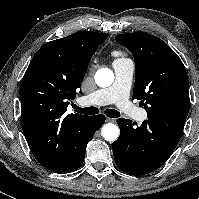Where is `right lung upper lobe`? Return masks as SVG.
Returning <instances> with one entry per match:
<instances>
[{"label": "right lung upper lobe", "instance_id": "1", "mask_svg": "<svg viewBox=\"0 0 199 199\" xmlns=\"http://www.w3.org/2000/svg\"><path fill=\"white\" fill-rule=\"evenodd\" d=\"M107 33L80 31L45 43L32 58L21 82V124L24 134L57 146L86 115L67 114L89 61Z\"/></svg>", "mask_w": 199, "mask_h": 199}]
</instances>
